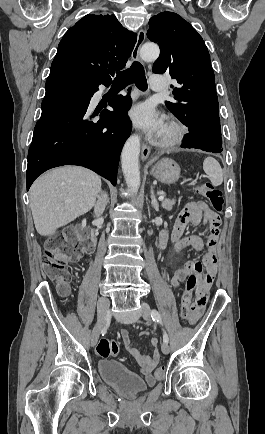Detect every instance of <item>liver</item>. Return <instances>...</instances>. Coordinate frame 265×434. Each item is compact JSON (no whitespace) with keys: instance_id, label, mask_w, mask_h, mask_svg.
Segmentation results:
<instances>
[{"instance_id":"6515ba94","label":"liver","mask_w":265,"mask_h":434,"mask_svg":"<svg viewBox=\"0 0 265 434\" xmlns=\"http://www.w3.org/2000/svg\"><path fill=\"white\" fill-rule=\"evenodd\" d=\"M101 192V178L78 166H64L40 176L30 188V208L40 236H53L89 212Z\"/></svg>"}]
</instances>
